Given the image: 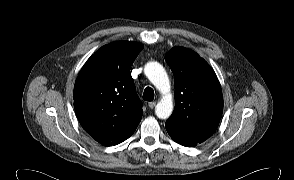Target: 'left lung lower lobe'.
Here are the masks:
<instances>
[{
  "mask_svg": "<svg viewBox=\"0 0 294 180\" xmlns=\"http://www.w3.org/2000/svg\"><path fill=\"white\" fill-rule=\"evenodd\" d=\"M166 130L170 137L177 142L186 147L196 146L202 143L207 138L212 136V134H199V133H188L178 130L170 125L165 124Z\"/></svg>",
  "mask_w": 294,
  "mask_h": 180,
  "instance_id": "obj_1",
  "label": "left lung lower lobe"
}]
</instances>
